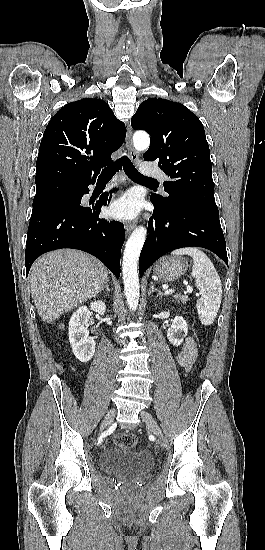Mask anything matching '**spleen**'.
I'll list each match as a JSON object with an SVG mask.
<instances>
[{
  "mask_svg": "<svg viewBox=\"0 0 265 550\" xmlns=\"http://www.w3.org/2000/svg\"><path fill=\"white\" fill-rule=\"evenodd\" d=\"M172 254L190 255L193 258L192 276L196 279V287L201 294L196 304L199 319L203 325H211L219 311L222 299V284L213 263L203 251L196 247L177 249Z\"/></svg>",
  "mask_w": 265,
  "mask_h": 550,
  "instance_id": "obj_1",
  "label": "spleen"
}]
</instances>
